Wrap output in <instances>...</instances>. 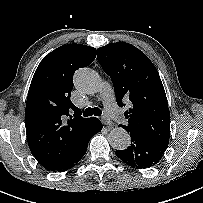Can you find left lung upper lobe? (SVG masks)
Wrapping results in <instances>:
<instances>
[{
    "label": "left lung upper lobe",
    "instance_id": "left-lung-upper-lobe-1",
    "mask_svg": "<svg viewBox=\"0 0 203 203\" xmlns=\"http://www.w3.org/2000/svg\"><path fill=\"white\" fill-rule=\"evenodd\" d=\"M98 61L111 77L117 104L125 106L128 132L143 134L154 141L168 144L170 137V112L165 90L150 59L135 46L110 43L97 50Z\"/></svg>",
    "mask_w": 203,
    "mask_h": 203
}]
</instances>
